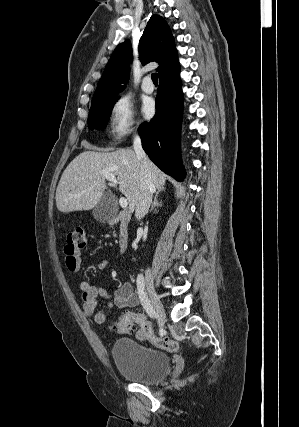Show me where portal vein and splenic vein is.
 <instances>
[{
    "label": "portal vein and splenic vein",
    "instance_id": "18ae733b",
    "mask_svg": "<svg viewBox=\"0 0 299 427\" xmlns=\"http://www.w3.org/2000/svg\"><path fill=\"white\" fill-rule=\"evenodd\" d=\"M105 177L110 182L109 184L111 186L116 187L117 180L113 174L107 172V173H105ZM119 204L122 208H127V206H128V202H127L126 198H124V197H120Z\"/></svg>",
    "mask_w": 299,
    "mask_h": 427
}]
</instances>
